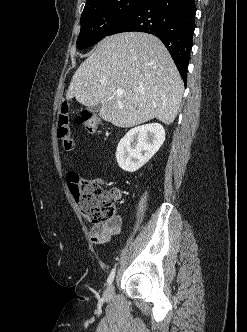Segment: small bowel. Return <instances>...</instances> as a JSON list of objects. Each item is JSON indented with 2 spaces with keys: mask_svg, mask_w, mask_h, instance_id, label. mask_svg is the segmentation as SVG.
Masks as SVG:
<instances>
[{
  "mask_svg": "<svg viewBox=\"0 0 247 332\" xmlns=\"http://www.w3.org/2000/svg\"><path fill=\"white\" fill-rule=\"evenodd\" d=\"M115 200L121 198V190L118 188L112 189ZM123 219L116 215L102 225H94L90 229V238L94 244H104L108 242L113 236L117 235L122 227Z\"/></svg>",
  "mask_w": 247,
  "mask_h": 332,
  "instance_id": "obj_1",
  "label": "small bowel"
}]
</instances>
